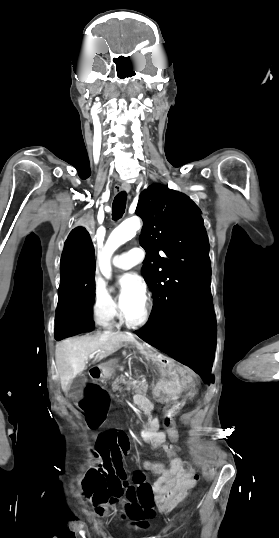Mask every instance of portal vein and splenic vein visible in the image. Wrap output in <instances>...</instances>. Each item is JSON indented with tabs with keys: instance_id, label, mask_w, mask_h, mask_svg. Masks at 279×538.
<instances>
[{
	"instance_id": "portal-vein-and-splenic-vein-1",
	"label": "portal vein and splenic vein",
	"mask_w": 279,
	"mask_h": 538,
	"mask_svg": "<svg viewBox=\"0 0 279 538\" xmlns=\"http://www.w3.org/2000/svg\"><path fill=\"white\" fill-rule=\"evenodd\" d=\"M95 356V353H92L91 356H89V358H94ZM125 383H129V380H125ZM130 383H136V380H130Z\"/></svg>"
}]
</instances>
